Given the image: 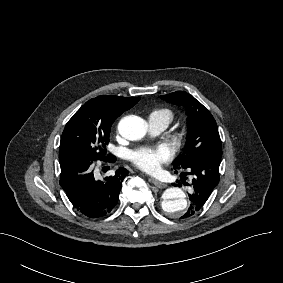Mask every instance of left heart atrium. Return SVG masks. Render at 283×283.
Masks as SVG:
<instances>
[{"instance_id":"obj_1","label":"left heart atrium","mask_w":283,"mask_h":283,"mask_svg":"<svg viewBox=\"0 0 283 283\" xmlns=\"http://www.w3.org/2000/svg\"><path fill=\"white\" fill-rule=\"evenodd\" d=\"M173 152L165 145L157 147H144L131 154L133 164L150 174L158 172L163 163L172 159Z\"/></svg>"}]
</instances>
